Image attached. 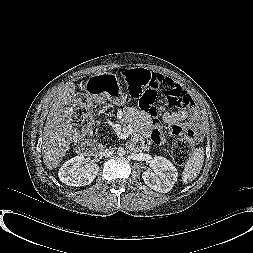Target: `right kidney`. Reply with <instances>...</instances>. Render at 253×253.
Here are the masks:
<instances>
[{
    "label": "right kidney",
    "instance_id": "ca27d5eb",
    "mask_svg": "<svg viewBox=\"0 0 253 253\" xmlns=\"http://www.w3.org/2000/svg\"><path fill=\"white\" fill-rule=\"evenodd\" d=\"M83 155L76 156L66 161L59 169V179L70 186L89 185L97 176L99 166L97 164H85Z\"/></svg>",
    "mask_w": 253,
    "mask_h": 253
}]
</instances>
